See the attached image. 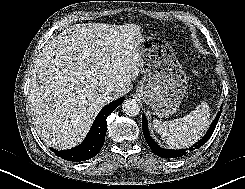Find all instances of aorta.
<instances>
[{"instance_id":"1","label":"aorta","mask_w":245,"mask_h":189,"mask_svg":"<svg viewBox=\"0 0 245 189\" xmlns=\"http://www.w3.org/2000/svg\"><path fill=\"white\" fill-rule=\"evenodd\" d=\"M122 110L128 116H137L140 107L135 99H126L122 104Z\"/></svg>"}]
</instances>
